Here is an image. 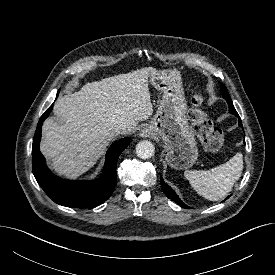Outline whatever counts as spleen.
I'll return each mask as SVG.
<instances>
[{
	"label": "spleen",
	"mask_w": 275,
	"mask_h": 275,
	"mask_svg": "<svg viewBox=\"0 0 275 275\" xmlns=\"http://www.w3.org/2000/svg\"><path fill=\"white\" fill-rule=\"evenodd\" d=\"M242 170L243 156L236 153L229 161L211 170H186L184 175L200 196L216 201L223 199L231 191Z\"/></svg>",
	"instance_id": "obj_1"
}]
</instances>
